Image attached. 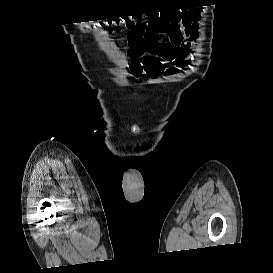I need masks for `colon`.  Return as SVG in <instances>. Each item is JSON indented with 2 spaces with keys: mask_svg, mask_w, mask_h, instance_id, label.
I'll return each instance as SVG.
<instances>
[{
  "mask_svg": "<svg viewBox=\"0 0 273 273\" xmlns=\"http://www.w3.org/2000/svg\"><path fill=\"white\" fill-rule=\"evenodd\" d=\"M162 20H165L162 18ZM100 26L110 32H119L124 29L128 30V39L132 44H137L150 33L151 27H156V24L148 25L140 20H135L133 17H125L110 21H100Z\"/></svg>",
  "mask_w": 273,
  "mask_h": 273,
  "instance_id": "1",
  "label": "colon"
}]
</instances>
